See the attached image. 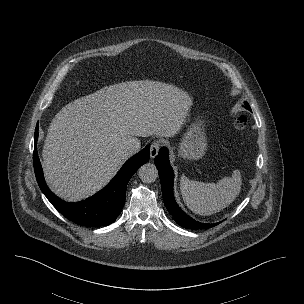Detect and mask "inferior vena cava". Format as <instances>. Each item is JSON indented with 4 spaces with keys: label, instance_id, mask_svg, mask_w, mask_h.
Instances as JSON below:
<instances>
[{
    "label": "inferior vena cava",
    "instance_id": "obj_1",
    "mask_svg": "<svg viewBox=\"0 0 304 304\" xmlns=\"http://www.w3.org/2000/svg\"><path fill=\"white\" fill-rule=\"evenodd\" d=\"M125 148H126V152L128 153V155H133L139 151L140 143L137 142L136 140L132 139L126 143Z\"/></svg>",
    "mask_w": 304,
    "mask_h": 304
}]
</instances>
